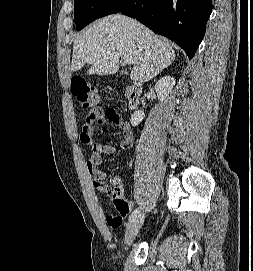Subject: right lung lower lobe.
Returning <instances> with one entry per match:
<instances>
[{"instance_id":"98d812e1","label":"right lung lower lobe","mask_w":253,"mask_h":271,"mask_svg":"<svg viewBox=\"0 0 253 271\" xmlns=\"http://www.w3.org/2000/svg\"><path fill=\"white\" fill-rule=\"evenodd\" d=\"M212 0H126L119 12L175 41L191 59L202 41Z\"/></svg>"}]
</instances>
